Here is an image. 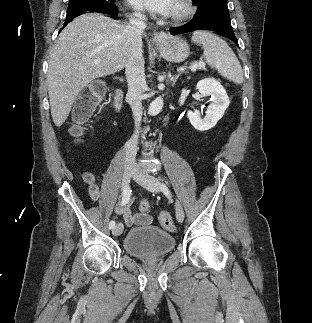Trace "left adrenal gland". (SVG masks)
Returning a JSON list of instances; mask_svg holds the SVG:
<instances>
[{
    "label": "left adrenal gland",
    "instance_id": "a2214340",
    "mask_svg": "<svg viewBox=\"0 0 312 323\" xmlns=\"http://www.w3.org/2000/svg\"><path fill=\"white\" fill-rule=\"evenodd\" d=\"M179 76H181V72H179V74H177V76H172V74H170V72H169V78L172 82L171 86H175V82H177Z\"/></svg>",
    "mask_w": 312,
    "mask_h": 323
}]
</instances>
